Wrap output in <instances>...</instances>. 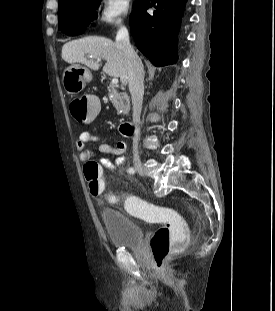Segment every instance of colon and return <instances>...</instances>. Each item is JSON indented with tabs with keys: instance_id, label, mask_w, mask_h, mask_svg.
I'll use <instances>...</instances> for the list:
<instances>
[{
	"instance_id": "colon-1",
	"label": "colon",
	"mask_w": 275,
	"mask_h": 311,
	"mask_svg": "<svg viewBox=\"0 0 275 311\" xmlns=\"http://www.w3.org/2000/svg\"><path fill=\"white\" fill-rule=\"evenodd\" d=\"M70 105L75 119L82 121L83 125H94V117L102 112L99 97L75 98ZM84 171L91 195L100 196L104 190L100 166L95 161H89ZM126 204L133 214L163 222L150 239L152 256L158 268L163 266L171 253L181 251L188 243L185 221L174 209L155 207L136 198L127 199Z\"/></svg>"
}]
</instances>
